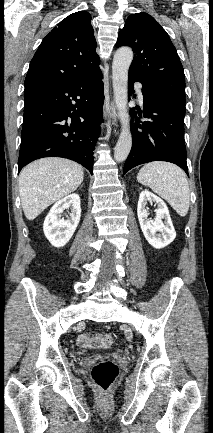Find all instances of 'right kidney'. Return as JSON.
I'll use <instances>...</instances> for the list:
<instances>
[{
  "instance_id": "ca27d5eb",
  "label": "right kidney",
  "mask_w": 213,
  "mask_h": 433,
  "mask_svg": "<svg viewBox=\"0 0 213 433\" xmlns=\"http://www.w3.org/2000/svg\"><path fill=\"white\" fill-rule=\"evenodd\" d=\"M71 209L70 217L64 219V210ZM81 216L80 197L70 194L56 202L45 218L43 231L54 247H63L73 236Z\"/></svg>"
}]
</instances>
